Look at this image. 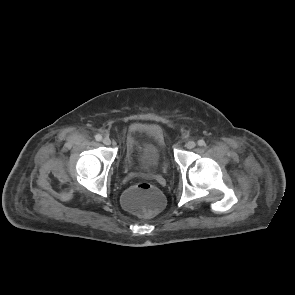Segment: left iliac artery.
I'll list each match as a JSON object with an SVG mask.
<instances>
[{
	"label": "left iliac artery",
	"mask_w": 295,
	"mask_h": 295,
	"mask_svg": "<svg viewBox=\"0 0 295 295\" xmlns=\"http://www.w3.org/2000/svg\"><path fill=\"white\" fill-rule=\"evenodd\" d=\"M198 145H199V146H204V145H205V141L202 140V139L199 140V141H198Z\"/></svg>",
	"instance_id": "obj_1"
}]
</instances>
